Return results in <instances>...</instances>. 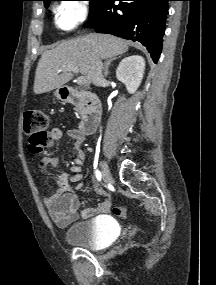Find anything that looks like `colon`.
Returning <instances> with one entry per match:
<instances>
[{
    "mask_svg": "<svg viewBox=\"0 0 216 285\" xmlns=\"http://www.w3.org/2000/svg\"><path fill=\"white\" fill-rule=\"evenodd\" d=\"M49 118L47 114L40 110H31L24 115V133L28 137L29 149L32 153H39L46 147L48 136ZM113 213L117 217L127 216V207L119 205L113 208Z\"/></svg>",
    "mask_w": 216,
    "mask_h": 285,
    "instance_id": "5ec220e1",
    "label": "colon"
}]
</instances>
